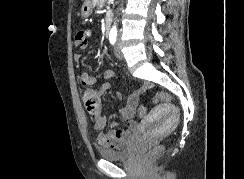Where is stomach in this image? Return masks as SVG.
I'll return each mask as SVG.
<instances>
[{
	"mask_svg": "<svg viewBox=\"0 0 244 179\" xmlns=\"http://www.w3.org/2000/svg\"><path fill=\"white\" fill-rule=\"evenodd\" d=\"M92 12V2L91 0H86L81 8L82 18H88Z\"/></svg>",
	"mask_w": 244,
	"mask_h": 179,
	"instance_id": "0dacf381",
	"label": "stomach"
}]
</instances>
